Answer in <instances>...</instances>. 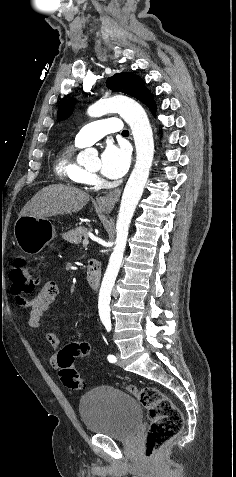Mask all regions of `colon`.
I'll use <instances>...</instances> for the list:
<instances>
[{"instance_id": "5ec220e1", "label": "colon", "mask_w": 236, "mask_h": 477, "mask_svg": "<svg viewBox=\"0 0 236 477\" xmlns=\"http://www.w3.org/2000/svg\"><path fill=\"white\" fill-rule=\"evenodd\" d=\"M10 277L12 295L21 305L26 296L35 291L38 279L31 274L21 259L17 260L12 267ZM90 349L92 352V347L88 343L73 342L58 352L59 376L68 388L84 389V381L72 365L76 358L89 355ZM129 391L146 409L151 420V427L145 438V454L147 458L152 459L166 443L179 434L183 427L182 414L174 402L156 387L145 386L138 389L131 386Z\"/></svg>"}]
</instances>
